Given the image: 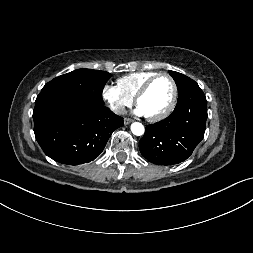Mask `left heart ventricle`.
I'll use <instances>...</instances> for the list:
<instances>
[{"label":"left heart ventricle","instance_id":"obj_1","mask_svg":"<svg viewBox=\"0 0 253 253\" xmlns=\"http://www.w3.org/2000/svg\"><path fill=\"white\" fill-rule=\"evenodd\" d=\"M172 85L168 78L157 79L147 93L139 100L138 107L145 116H155L163 112L170 104Z\"/></svg>","mask_w":253,"mask_h":253}]
</instances>
